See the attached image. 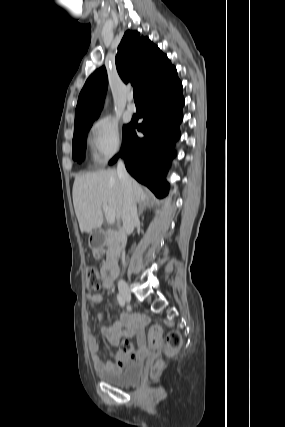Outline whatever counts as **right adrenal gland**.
<instances>
[{
    "label": "right adrenal gland",
    "mask_w": 285,
    "mask_h": 427,
    "mask_svg": "<svg viewBox=\"0 0 285 427\" xmlns=\"http://www.w3.org/2000/svg\"><path fill=\"white\" fill-rule=\"evenodd\" d=\"M151 205V201L149 198H146V200L144 202H142V204H140L139 207V215H141L144 211V209H146L147 207H149Z\"/></svg>",
    "instance_id": "right-adrenal-gland-1"
}]
</instances>
